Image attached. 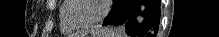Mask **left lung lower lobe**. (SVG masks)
Returning <instances> with one entry per match:
<instances>
[{
    "mask_svg": "<svg viewBox=\"0 0 219 37\" xmlns=\"http://www.w3.org/2000/svg\"><path fill=\"white\" fill-rule=\"evenodd\" d=\"M160 0H117L103 25H122L133 37H156Z\"/></svg>",
    "mask_w": 219,
    "mask_h": 37,
    "instance_id": "left-lung-lower-lobe-1",
    "label": "left lung lower lobe"
}]
</instances>
